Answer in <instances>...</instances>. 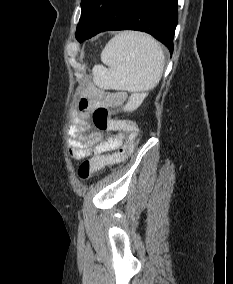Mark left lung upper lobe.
Segmentation results:
<instances>
[{
  "label": "left lung upper lobe",
  "instance_id": "obj_1",
  "mask_svg": "<svg viewBox=\"0 0 233 284\" xmlns=\"http://www.w3.org/2000/svg\"><path fill=\"white\" fill-rule=\"evenodd\" d=\"M106 0H81L82 14L77 25L76 38L79 41L90 29L99 8Z\"/></svg>",
  "mask_w": 233,
  "mask_h": 284
}]
</instances>
